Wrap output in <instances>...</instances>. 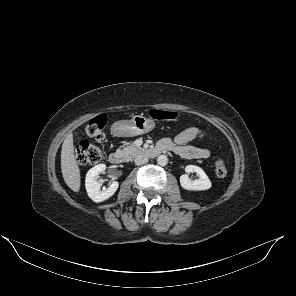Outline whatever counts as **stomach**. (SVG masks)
Instances as JSON below:
<instances>
[{
    "instance_id": "obj_1",
    "label": "stomach",
    "mask_w": 296,
    "mask_h": 296,
    "mask_svg": "<svg viewBox=\"0 0 296 296\" xmlns=\"http://www.w3.org/2000/svg\"><path fill=\"white\" fill-rule=\"evenodd\" d=\"M155 127L153 119L136 115L131 120H121L114 123L113 128L119 136L132 137L150 132Z\"/></svg>"
}]
</instances>
